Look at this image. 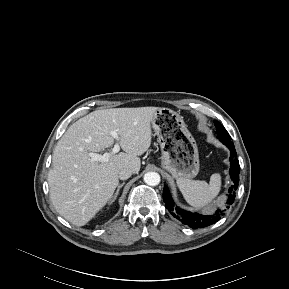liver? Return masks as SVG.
Segmentation results:
<instances>
[{"instance_id":"6515ba94","label":"liver","mask_w":289,"mask_h":289,"mask_svg":"<svg viewBox=\"0 0 289 289\" xmlns=\"http://www.w3.org/2000/svg\"><path fill=\"white\" fill-rule=\"evenodd\" d=\"M158 108L97 110L73 123L58 141L48 172L50 199L56 211L75 226L86 225L112 198L118 173H138L139 156L151 145V121ZM115 130L124 152L107 162L92 161L90 153L110 148Z\"/></svg>"}]
</instances>
